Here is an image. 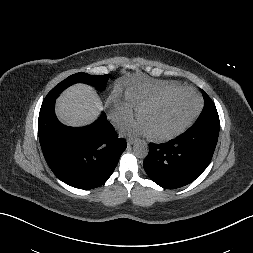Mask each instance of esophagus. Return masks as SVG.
Masks as SVG:
<instances>
[{"label": "esophagus", "instance_id": "esophagus-1", "mask_svg": "<svg viewBox=\"0 0 253 253\" xmlns=\"http://www.w3.org/2000/svg\"><path fill=\"white\" fill-rule=\"evenodd\" d=\"M135 142H136V139H133V138L127 139V144L128 145H133Z\"/></svg>", "mask_w": 253, "mask_h": 253}]
</instances>
